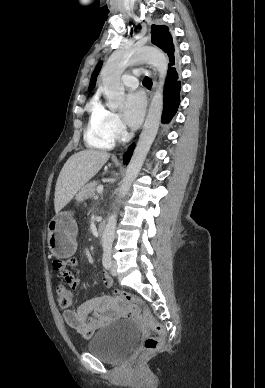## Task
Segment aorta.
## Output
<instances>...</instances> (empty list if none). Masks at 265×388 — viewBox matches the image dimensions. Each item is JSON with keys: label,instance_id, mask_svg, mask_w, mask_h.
Here are the masks:
<instances>
[{"label": "aorta", "instance_id": "obj_1", "mask_svg": "<svg viewBox=\"0 0 265 388\" xmlns=\"http://www.w3.org/2000/svg\"><path fill=\"white\" fill-rule=\"evenodd\" d=\"M137 62H148L158 71L159 82L154 92L150 108L140 134L133 156L127 166L126 175L119 189V196L125 195L138 176L150 147L156 137L163 111L164 84L168 72V60L164 53L155 48L144 47L128 51H116L108 59L102 70L104 93L108 100L107 107L117 109L125 100V90L121 83L124 69ZM117 214L112 213L102 234V245L113 244L116 230Z\"/></svg>", "mask_w": 265, "mask_h": 388}]
</instances>
